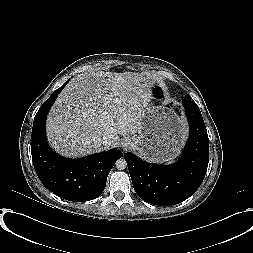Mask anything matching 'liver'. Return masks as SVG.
<instances>
[{"instance_id": "liver-1", "label": "liver", "mask_w": 253, "mask_h": 253, "mask_svg": "<svg viewBox=\"0 0 253 253\" xmlns=\"http://www.w3.org/2000/svg\"><path fill=\"white\" fill-rule=\"evenodd\" d=\"M145 73L91 71L71 79L47 118L51 146L66 157H82L119 145L118 135L135 134L152 99ZM104 136L112 140L105 147Z\"/></svg>"}]
</instances>
